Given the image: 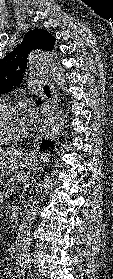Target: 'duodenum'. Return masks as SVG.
Listing matches in <instances>:
<instances>
[{
  "label": "duodenum",
  "mask_w": 113,
  "mask_h": 279,
  "mask_svg": "<svg viewBox=\"0 0 113 279\" xmlns=\"http://www.w3.org/2000/svg\"><path fill=\"white\" fill-rule=\"evenodd\" d=\"M20 218V211L18 208H14L12 209L11 213H10V221L11 224L15 227L18 224Z\"/></svg>",
  "instance_id": "duodenum-1"
}]
</instances>
